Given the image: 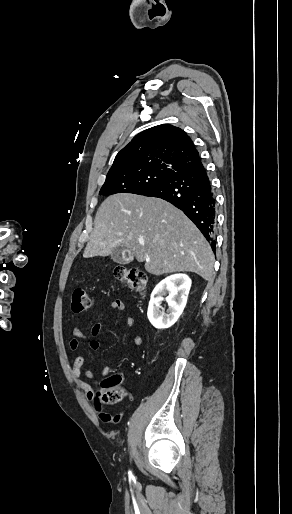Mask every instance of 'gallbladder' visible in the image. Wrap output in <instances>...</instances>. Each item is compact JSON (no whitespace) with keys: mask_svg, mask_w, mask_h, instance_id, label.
Returning a JSON list of instances; mask_svg holds the SVG:
<instances>
[{"mask_svg":"<svg viewBox=\"0 0 292 514\" xmlns=\"http://www.w3.org/2000/svg\"><path fill=\"white\" fill-rule=\"evenodd\" d=\"M111 260H113V262H116V264H124L125 260L123 258V250L122 248H120V246H117V248H114V250H112L111 254Z\"/></svg>","mask_w":292,"mask_h":514,"instance_id":"bac80fb5","label":"gallbladder"}]
</instances>
